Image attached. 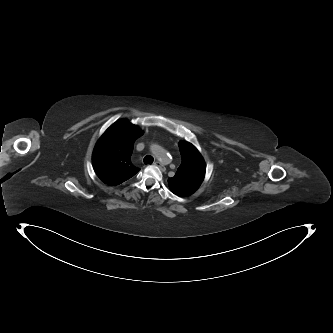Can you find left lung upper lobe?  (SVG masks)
Masks as SVG:
<instances>
[{"label": "left lung upper lobe", "mask_w": 333, "mask_h": 333, "mask_svg": "<svg viewBox=\"0 0 333 333\" xmlns=\"http://www.w3.org/2000/svg\"><path fill=\"white\" fill-rule=\"evenodd\" d=\"M182 163L175 176L168 179L170 190L181 197L193 194L201 185L206 171L200 152L189 142L180 141Z\"/></svg>", "instance_id": "obj_1"}]
</instances>
